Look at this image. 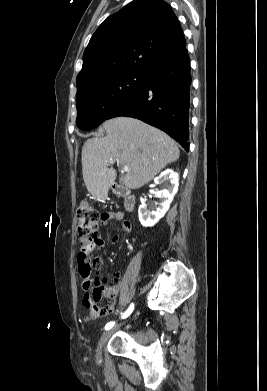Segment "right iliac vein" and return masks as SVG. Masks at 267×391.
<instances>
[{
	"instance_id": "right-iliac-vein-1",
	"label": "right iliac vein",
	"mask_w": 267,
	"mask_h": 391,
	"mask_svg": "<svg viewBox=\"0 0 267 391\" xmlns=\"http://www.w3.org/2000/svg\"><path fill=\"white\" fill-rule=\"evenodd\" d=\"M122 323L121 324H118L117 326L107 330L106 332H104L98 342V345H97V353H96V357H97V360H101V353H102V348L104 347L105 343L107 342V340L109 339V337L112 335V333L118 329L119 327H121Z\"/></svg>"
}]
</instances>
